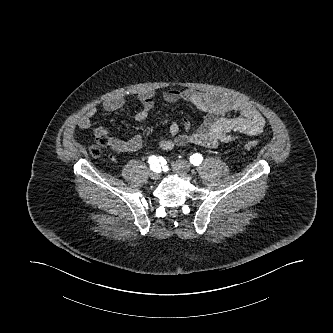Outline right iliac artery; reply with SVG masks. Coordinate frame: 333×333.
<instances>
[{
  "label": "right iliac artery",
  "instance_id": "obj_1",
  "mask_svg": "<svg viewBox=\"0 0 333 333\" xmlns=\"http://www.w3.org/2000/svg\"><path fill=\"white\" fill-rule=\"evenodd\" d=\"M148 163L151 170L160 171V163H164V159L162 157L150 156L148 159Z\"/></svg>",
  "mask_w": 333,
  "mask_h": 333
}]
</instances>
